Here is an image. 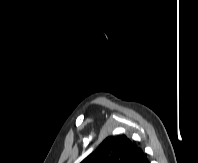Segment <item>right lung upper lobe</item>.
<instances>
[{"label": "right lung upper lobe", "instance_id": "right-lung-upper-lobe-1", "mask_svg": "<svg viewBox=\"0 0 198 163\" xmlns=\"http://www.w3.org/2000/svg\"><path fill=\"white\" fill-rule=\"evenodd\" d=\"M81 163H149L125 135L109 136Z\"/></svg>", "mask_w": 198, "mask_h": 163}]
</instances>
